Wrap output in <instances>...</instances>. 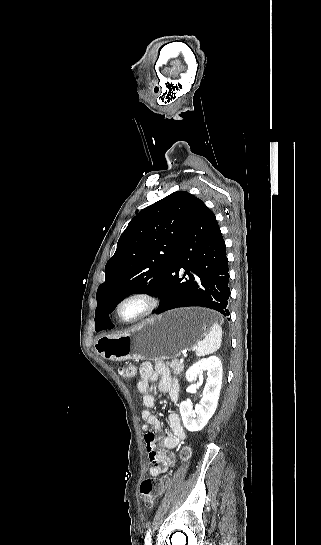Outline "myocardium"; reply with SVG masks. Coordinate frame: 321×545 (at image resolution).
Here are the masks:
<instances>
[{
  "mask_svg": "<svg viewBox=\"0 0 321 545\" xmlns=\"http://www.w3.org/2000/svg\"><path fill=\"white\" fill-rule=\"evenodd\" d=\"M127 305H138L139 312L133 317H126L122 310ZM160 306L159 298L150 291H133L122 296L116 304L115 313L118 320L124 324L140 323L152 316Z\"/></svg>",
  "mask_w": 321,
  "mask_h": 545,
  "instance_id": "1",
  "label": "myocardium"
}]
</instances>
